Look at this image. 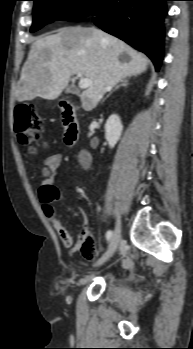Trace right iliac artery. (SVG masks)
Masks as SVG:
<instances>
[{
    "mask_svg": "<svg viewBox=\"0 0 193 349\" xmlns=\"http://www.w3.org/2000/svg\"><path fill=\"white\" fill-rule=\"evenodd\" d=\"M112 234H113V232H112L111 230H109V231L106 233V239H107V240H110L111 237H112Z\"/></svg>",
    "mask_w": 193,
    "mask_h": 349,
    "instance_id": "1",
    "label": "right iliac artery"
}]
</instances>
